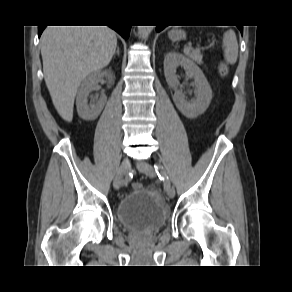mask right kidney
I'll list each match as a JSON object with an SVG mask.
<instances>
[{"label":"right kidney","instance_id":"ca27d5eb","mask_svg":"<svg viewBox=\"0 0 292 292\" xmlns=\"http://www.w3.org/2000/svg\"><path fill=\"white\" fill-rule=\"evenodd\" d=\"M102 77H106L109 81V84L114 82V76L111 70L95 71L82 81V84L77 93L76 105L78 115L83 120H95L105 105V96H102L98 101L92 99L90 104H88V96L90 92L98 87V83Z\"/></svg>","mask_w":292,"mask_h":292}]
</instances>
